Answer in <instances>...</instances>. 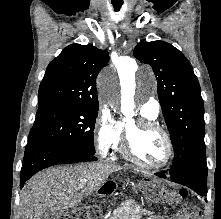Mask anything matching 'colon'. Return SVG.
<instances>
[{
  "label": "colon",
  "mask_w": 221,
  "mask_h": 219,
  "mask_svg": "<svg viewBox=\"0 0 221 219\" xmlns=\"http://www.w3.org/2000/svg\"><path fill=\"white\" fill-rule=\"evenodd\" d=\"M179 195L185 197L186 191H179ZM87 215L85 211L81 209H74L67 211L66 213L59 216V219H86ZM176 219H201L200 211L197 207H188L182 209Z\"/></svg>",
  "instance_id": "colon-1"
}]
</instances>
